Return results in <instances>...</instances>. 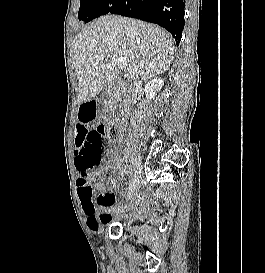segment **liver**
Listing matches in <instances>:
<instances>
[{"label":"liver","instance_id":"1","mask_svg":"<svg viewBox=\"0 0 265 273\" xmlns=\"http://www.w3.org/2000/svg\"><path fill=\"white\" fill-rule=\"evenodd\" d=\"M173 45V37L157 25L114 15L93 20L78 33L71 48L78 103L95 98L111 82L110 56L126 60L125 77L148 80L168 69L174 59Z\"/></svg>","mask_w":265,"mask_h":273}]
</instances>
